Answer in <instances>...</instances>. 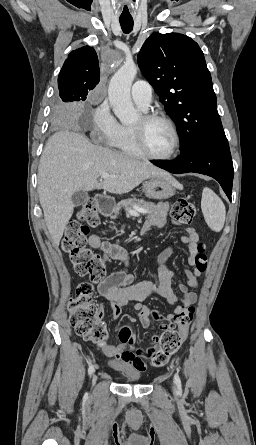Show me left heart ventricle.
I'll return each mask as SVG.
<instances>
[{
  "instance_id": "obj_1",
  "label": "left heart ventricle",
  "mask_w": 256,
  "mask_h": 445,
  "mask_svg": "<svg viewBox=\"0 0 256 445\" xmlns=\"http://www.w3.org/2000/svg\"><path fill=\"white\" fill-rule=\"evenodd\" d=\"M131 127H142L146 146L153 154L163 156L172 150L173 133L166 123L154 121L143 124L142 117H140Z\"/></svg>"
}]
</instances>
